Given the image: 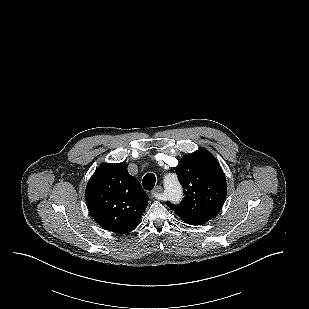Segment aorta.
<instances>
[{"instance_id": "obj_1", "label": "aorta", "mask_w": 309, "mask_h": 309, "mask_svg": "<svg viewBox=\"0 0 309 309\" xmlns=\"http://www.w3.org/2000/svg\"><path fill=\"white\" fill-rule=\"evenodd\" d=\"M165 192L170 201L177 203L182 198V187L176 178L167 177L164 180Z\"/></svg>"}]
</instances>
